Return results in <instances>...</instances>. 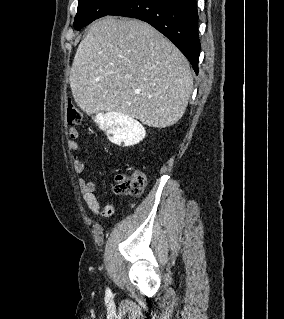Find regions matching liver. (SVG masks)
<instances>
[{
	"mask_svg": "<svg viewBox=\"0 0 284 319\" xmlns=\"http://www.w3.org/2000/svg\"><path fill=\"white\" fill-rule=\"evenodd\" d=\"M69 81L87 114L120 112L155 128L183 116L193 86L189 62L172 42L148 23L111 16L79 44Z\"/></svg>",
	"mask_w": 284,
	"mask_h": 319,
	"instance_id": "6515ba94",
	"label": "liver"
}]
</instances>
